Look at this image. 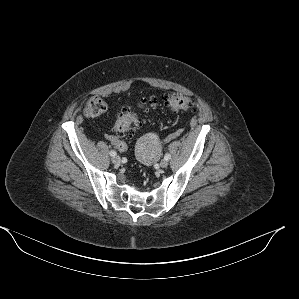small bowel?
Instances as JSON below:
<instances>
[{"instance_id":"1","label":"small bowel","mask_w":299,"mask_h":299,"mask_svg":"<svg viewBox=\"0 0 299 299\" xmlns=\"http://www.w3.org/2000/svg\"><path fill=\"white\" fill-rule=\"evenodd\" d=\"M135 107H136L137 109H143V108L145 107V102H144V100H139V101H137L136 104H135ZM106 139H107L110 143H112L115 147H116V144H117V142H118V140H119V138L116 137V136H114V135H106ZM116 148H117V147H116ZM118 150H119V149H118ZM119 151L124 152V151H122V150H119Z\"/></svg>"}]
</instances>
